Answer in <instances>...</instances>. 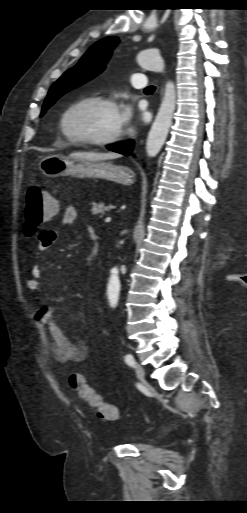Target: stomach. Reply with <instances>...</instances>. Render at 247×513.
<instances>
[{"instance_id":"0dacf381","label":"stomach","mask_w":247,"mask_h":513,"mask_svg":"<svg viewBox=\"0 0 247 513\" xmlns=\"http://www.w3.org/2000/svg\"><path fill=\"white\" fill-rule=\"evenodd\" d=\"M39 168L48 177L98 178L126 186L135 182V173L130 168L105 161L69 159L60 155H51L41 160Z\"/></svg>"}]
</instances>
